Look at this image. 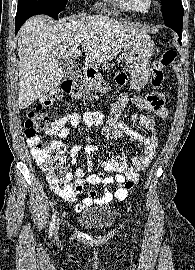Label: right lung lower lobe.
<instances>
[{
	"instance_id": "right-lung-lower-lobe-1",
	"label": "right lung lower lobe",
	"mask_w": 195,
	"mask_h": 270,
	"mask_svg": "<svg viewBox=\"0 0 195 270\" xmlns=\"http://www.w3.org/2000/svg\"><path fill=\"white\" fill-rule=\"evenodd\" d=\"M40 14L31 9H18L15 17V34L18 32L23 23L33 15Z\"/></svg>"
}]
</instances>
